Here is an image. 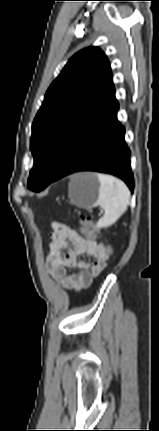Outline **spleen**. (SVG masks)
Here are the masks:
<instances>
[{
	"label": "spleen",
	"instance_id": "3e777b00",
	"mask_svg": "<svg viewBox=\"0 0 159 431\" xmlns=\"http://www.w3.org/2000/svg\"><path fill=\"white\" fill-rule=\"evenodd\" d=\"M96 176L100 182L98 205L104 210L96 229L112 226L126 211L129 204L130 192L121 180L101 173Z\"/></svg>",
	"mask_w": 159,
	"mask_h": 431
}]
</instances>
